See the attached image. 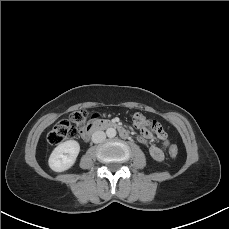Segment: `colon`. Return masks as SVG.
Here are the masks:
<instances>
[{
  "label": "colon",
  "mask_w": 229,
  "mask_h": 229,
  "mask_svg": "<svg viewBox=\"0 0 229 229\" xmlns=\"http://www.w3.org/2000/svg\"><path fill=\"white\" fill-rule=\"evenodd\" d=\"M87 116L88 113L85 110H76L71 112L68 120H62L55 124L48 135V142L52 145H58L66 139L75 138L79 134L81 127L84 125ZM133 122L138 128L150 127L154 131H158L160 127L159 123L146 118L141 114H136ZM178 153V147L175 144L170 145L169 155L171 158L175 159L178 156Z\"/></svg>",
  "instance_id": "1"
}]
</instances>
